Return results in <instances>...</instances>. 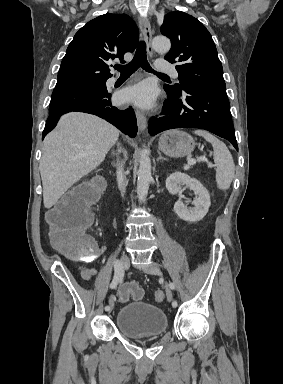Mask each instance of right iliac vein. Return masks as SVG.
<instances>
[{"mask_svg":"<svg viewBox=\"0 0 283 384\" xmlns=\"http://www.w3.org/2000/svg\"><path fill=\"white\" fill-rule=\"evenodd\" d=\"M120 264H121L123 269H127L128 268V266H129V257L127 256V254H123L121 256ZM112 308H113V302L111 303L110 308L107 310V312L110 313Z\"/></svg>","mask_w":283,"mask_h":384,"instance_id":"right-iliac-vein-1","label":"right iliac vein"}]
</instances>
